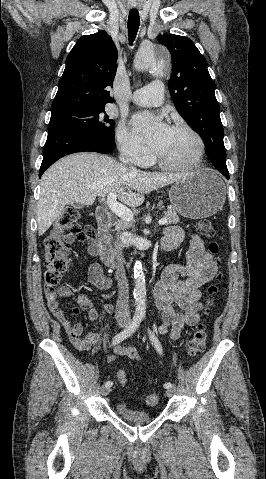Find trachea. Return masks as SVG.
Listing matches in <instances>:
<instances>
[{
    "label": "trachea",
    "instance_id": "trachea-1",
    "mask_svg": "<svg viewBox=\"0 0 266 479\" xmlns=\"http://www.w3.org/2000/svg\"><path fill=\"white\" fill-rule=\"evenodd\" d=\"M140 25L139 13L137 10H130L128 16V36L130 45H132Z\"/></svg>",
    "mask_w": 266,
    "mask_h": 479
}]
</instances>
